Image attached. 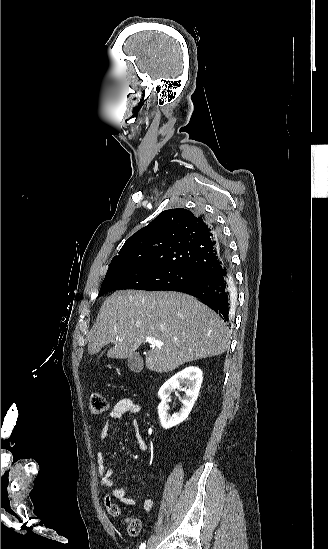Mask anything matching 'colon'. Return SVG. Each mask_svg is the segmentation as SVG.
Here are the masks:
<instances>
[{"instance_id":"obj_1","label":"colon","mask_w":328,"mask_h":549,"mask_svg":"<svg viewBox=\"0 0 328 549\" xmlns=\"http://www.w3.org/2000/svg\"><path fill=\"white\" fill-rule=\"evenodd\" d=\"M89 409L94 414H101L107 410L106 400L100 393L94 392L91 394ZM104 506L112 517L118 518L121 516L120 507L112 501L109 495H105L104 497ZM125 525L127 532L132 536L138 535L141 531V521L137 518H126Z\"/></svg>"}]
</instances>
